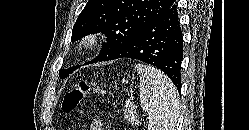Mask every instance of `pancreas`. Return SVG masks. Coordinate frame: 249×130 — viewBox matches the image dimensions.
I'll return each instance as SVG.
<instances>
[{
    "mask_svg": "<svg viewBox=\"0 0 249 130\" xmlns=\"http://www.w3.org/2000/svg\"><path fill=\"white\" fill-rule=\"evenodd\" d=\"M124 118L133 125H138L140 123L138 115L135 111V107L131 104H126L124 106Z\"/></svg>",
    "mask_w": 249,
    "mask_h": 130,
    "instance_id": "1",
    "label": "pancreas"
}]
</instances>
